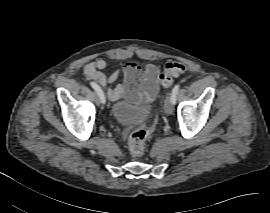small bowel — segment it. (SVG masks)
Segmentation results:
<instances>
[{"label": "small bowel", "mask_w": 270, "mask_h": 213, "mask_svg": "<svg viewBox=\"0 0 270 213\" xmlns=\"http://www.w3.org/2000/svg\"><path fill=\"white\" fill-rule=\"evenodd\" d=\"M106 59L99 58L89 62L84 66V75L101 85L107 94L114 100L122 98H135L141 91V96L146 102H152L158 95L159 69L153 64H149L142 70L135 63H127L123 68L117 69L107 76L103 70L107 67ZM124 81L116 87H112L121 76Z\"/></svg>", "instance_id": "1"}]
</instances>
